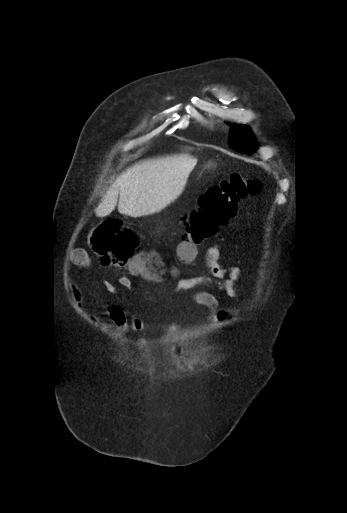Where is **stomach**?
I'll use <instances>...</instances> for the list:
<instances>
[{"label":"stomach","instance_id":"stomach-1","mask_svg":"<svg viewBox=\"0 0 347 513\" xmlns=\"http://www.w3.org/2000/svg\"><path fill=\"white\" fill-rule=\"evenodd\" d=\"M207 167H208V169L210 170L211 168H213V167H214V164H211V163H210Z\"/></svg>","mask_w":347,"mask_h":513}]
</instances>
